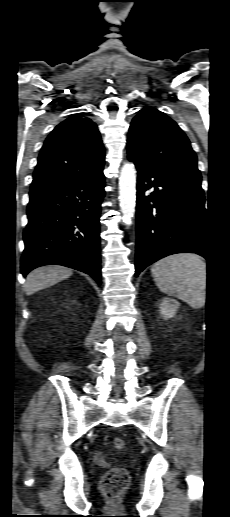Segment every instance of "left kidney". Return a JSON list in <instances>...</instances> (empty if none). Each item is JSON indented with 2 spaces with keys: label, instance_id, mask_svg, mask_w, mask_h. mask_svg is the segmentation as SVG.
<instances>
[{
  "label": "left kidney",
  "instance_id": "left-kidney-1",
  "mask_svg": "<svg viewBox=\"0 0 230 517\" xmlns=\"http://www.w3.org/2000/svg\"><path fill=\"white\" fill-rule=\"evenodd\" d=\"M179 303L175 299L163 298L159 305L160 313L164 319H169L175 316Z\"/></svg>",
  "mask_w": 230,
  "mask_h": 517
}]
</instances>
